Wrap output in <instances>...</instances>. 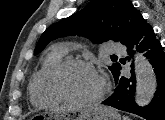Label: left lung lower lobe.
I'll list each match as a JSON object with an SVG mask.
<instances>
[{"label":"left lung lower lobe","instance_id":"1","mask_svg":"<svg viewBox=\"0 0 165 120\" xmlns=\"http://www.w3.org/2000/svg\"><path fill=\"white\" fill-rule=\"evenodd\" d=\"M124 45L127 46V52L131 57L134 54L133 48H136L137 51L144 52V56L149 59L157 79L154 98L149 105L137 107L134 100L136 88L135 74L131 70V77L122 76L120 74V65L117 79L115 80L117 87L114 93L104 100L102 104L137 114L146 120H165V53L156 38L153 28L143 17L138 21L136 29ZM121 63L125 64V62ZM131 67H133V64H131Z\"/></svg>","mask_w":165,"mask_h":120}]
</instances>
